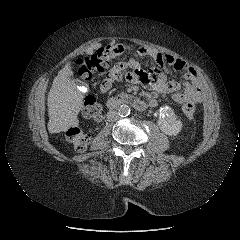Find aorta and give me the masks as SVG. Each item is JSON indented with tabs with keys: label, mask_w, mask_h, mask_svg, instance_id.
<instances>
[{
	"label": "aorta",
	"mask_w": 240,
	"mask_h": 240,
	"mask_svg": "<svg viewBox=\"0 0 240 240\" xmlns=\"http://www.w3.org/2000/svg\"><path fill=\"white\" fill-rule=\"evenodd\" d=\"M130 107L128 105H121L119 108H118V114L119 116L121 117H126L130 114Z\"/></svg>",
	"instance_id": "obj_1"
}]
</instances>
